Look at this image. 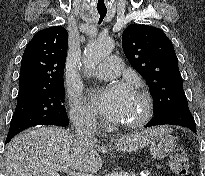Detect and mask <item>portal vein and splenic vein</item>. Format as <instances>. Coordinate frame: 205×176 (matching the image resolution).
Wrapping results in <instances>:
<instances>
[{"instance_id":"1","label":"portal vein and splenic vein","mask_w":205,"mask_h":176,"mask_svg":"<svg viewBox=\"0 0 205 176\" xmlns=\"http://www.w3.org/2000/svg\"><path fill=\"white\" fill-rule=\"evenodd\" d=\"M46 166L52 168V169H55L57 171H61V172H64V173H67L68 175L70 176H91L89 174H82V173H77V172H74V171H71L69 170V168L66 166V165H59V164H56V163H52V162H43Z\"/></svg>"}]
</instances>
